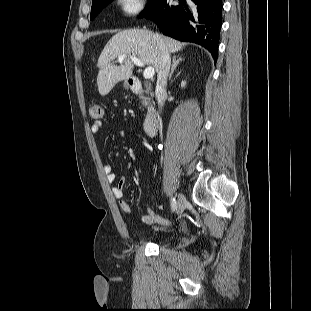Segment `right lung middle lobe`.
Segmentation results:
<instances>
[{"label": "right lung middle lobe", "instance_id": "right-lung-middle-lobe-1", "mask_svg": "<svg viewBox=\"0 0 311 311\" xmlns=\"http://www.w3.org/2000/svg\"><path fill=\"white\" fill-rule=\"evenodd\" d=\"M112 0H95L92 2L90 19H94L98 13L107 6ZM160 0H149V3L140 16H145Z\"/></svg>", "mask_w": 311, "mask_h": 311}]
</instances>
